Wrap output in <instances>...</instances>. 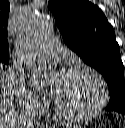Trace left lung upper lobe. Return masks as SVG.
I'll return each mask as SVG.
<instances>
[{"mask_svg":"<svg viewBox=\"0 0 125 128\" xmlns=\"http://www.w3.org/2000/svg\"><path fill=\"white\" fill-rule=\"evenodd\" d=\"M48 8L66 45L104 76L110 94L106 110L125 109L120 47L102 10L88 0H52L48 2Z\"/></svg>","mask_w":125,"mask_h":128,"instance_id":"5c2ea615","label":"left lung upper lobe"}]
</instances>
